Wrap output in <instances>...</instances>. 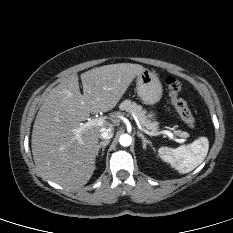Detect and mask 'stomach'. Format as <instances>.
I'll use <instances>...</instances> for the list:
<instances>
[{
	"label": "stomach",
	"instance_id": "obj_1",
	"mask_svg": "<svg viewBox=\"0 0 233 233\" xmlns=\"http://www.w3.org/2000/svg\"><path fill=\"white\" fill-rule=\"evenodd\" d=\"M137 95L146 105H154L160 101L163 93L162 84L157 75L148 69H144L137 76ZM154 113L148 115V119L154 118Z\"/></svg>",
	"mask_w": 233,
	"mask_h": 233
}]
</instances>
